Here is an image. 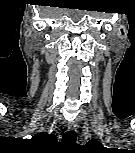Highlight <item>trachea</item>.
<instances>
[{"label":"trachea","mask_w":135,"mask_h":153,"mask_svg":"<svg viewBox=\"0 0 135 153\" xmlns=\"http://www.w3.org/2000/svg\"><path fill=\"white\" fill-rule=\"evenodd\" d=\"M76 140V133L74 130H70L64 133L62 142L64 144H74Z\"/></svg>","instance_id":"trachea-1"}]
</instances>
